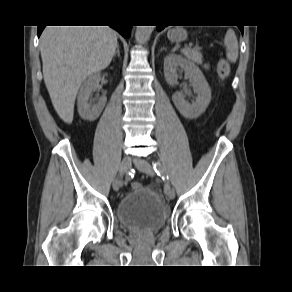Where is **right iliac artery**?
Returning <instances> with one entry per match:
<instances>
[{
	"label": "right iliac artery",
	"instance_id": "82829eb1",
	"mask_svg": "<svg viewBox=\"0 0 292 292\" xmlns=\"http://www.w3.org/2000/svg\"><path fill=\"white\" fill-rule=\"evenodd\" d=\"M126 181H132L133 180V173L128 172L125 177ZM125 179H120V182H125ZM117 182H119V179H117Z\"/></svg>",
	"mask_w": 292,
	"mask_h": 292
}]
</instances>
